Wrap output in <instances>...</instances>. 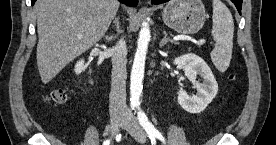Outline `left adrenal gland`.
I'll return each mask as SVG.
<instances>
[{
    "label": "left adrenal gland",
    "instance_id": "1",
    "mask_svg": "<svg viewBox=\"0 0 276 145\" xmlns=\"http://www.w3.org/2000/svg\"><path fill=\"white\" fill-rule=\"evenodd\" d=\"M163 34H164V37H163V39L161 40V42H160V44H159L160 47H163V46L166 45L168 42L177 44L176 41H174V40H172V39H170V38H167V33H166V31H164Z\"/></svg>",
    "mask_w": 276,
    "mask_h": 145
}]
</instances>
